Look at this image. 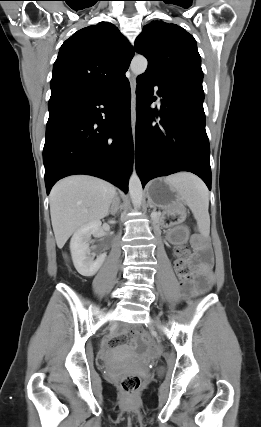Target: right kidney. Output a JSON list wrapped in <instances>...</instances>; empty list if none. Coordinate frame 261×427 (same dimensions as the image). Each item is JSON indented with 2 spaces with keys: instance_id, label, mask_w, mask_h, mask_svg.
<instances>
[{
  "instance_id": "1",
  "label": "right kidney",
  "mask_w": 261,
  "mask_h": 427,
  "mask_svg": "<svg viewBox=\"0 0 261 427\" xmlns=\"http://www.w3.org/2000/svg\"><path fill=\"white\" fill-rule=\"evenodd\" d=\"M101 221L85 224L75 231L70 241L72 260L76 270L83 276H93L105 261L106 253L97 255L91 252L89 241L91 235L99 236Z\"/></svg>"
}]
</instances>
